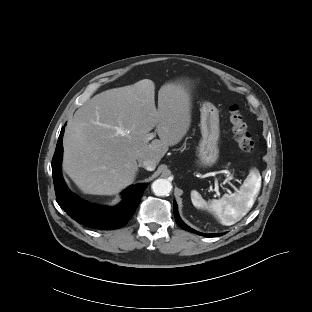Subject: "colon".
Returning a JSON list of instances; mask_svg holds the SVG:
<instances>
[{
	"label": "colon",
	"instance_id": "obj_1",
	"mask_svg": "<svg viewBox=\"0 0 312 312\" xmlns=\"http://www.w3.org/2000/svg\"><path fill=\"white\" fill-rule=\"evenodd\" d=\"M229 120L238 147L244 152L253 151L254 140L238 105H232L229 108Z\"/></svg>",
	"mask_w": 312,
	"mask_h": 312
}]
</instances>
